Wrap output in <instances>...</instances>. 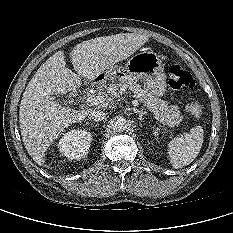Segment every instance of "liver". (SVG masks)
<instances>
[{
    "instance_id": "liver-1",
    "label": "liver",
    "mask_w": 233,
    "mask_h": 233,
    "mask_svg": "<svg viewBox=\"0 0 233 233\" xmlns=\"http://www.w3.org/2000/svg\"><path fill=\"white\" fill-rule=\"evenodd\" d=\"M148 40L145 35L121 33L83 41L71 50V62L77 74L66 67L62 50L40 66L26 86L19 109L23 143L38 165H43L45 152L54 140L89 113V110L63 107L51 96L76 90L82 79L97 78L110 66L131 56Z\"/></svg>"
}]
</instances>
